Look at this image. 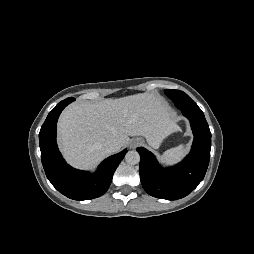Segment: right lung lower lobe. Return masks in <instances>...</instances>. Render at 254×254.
I'll list each match as a JSON object with an SVG mask.
<instances>
[{"mask_svg":"<svg viewBox=\"0 0 254 254\" xmlns=\"http://www.w3.org/2000/svg\"><path fill=\"white\" fill-rule=\"evenodd\" d=\"M75 99L69 97L58 103L48 114L39 133L41 160L48 180L63 195L74 200H90L103 195L127 150L108 157L90 174L69 166L56 143V124L61 111Z\"/></svg>","mask_w":254,"mask_h":254,"instance_id":"obj_1","label":"right lung lower lobe"}]
</instances>
